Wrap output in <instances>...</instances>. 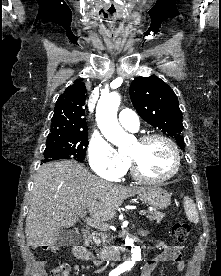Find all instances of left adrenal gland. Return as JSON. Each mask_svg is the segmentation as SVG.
I'll return each mask as SVG.
<instances>
[{"label":"left adrenal gland","mask_w":221,"mask_h":276,"mask_svg":"<svg viewBox=\"0 0 221 276\" xmlns=\"http://www.w3.org/2000/svg\"><path fill=\"white\" fill-rule=\"evenodd\" d=\"M142 235L145 236L147 232L141 231Z\"/></svg>","instance_id":"a2214340"}]
</instances>
